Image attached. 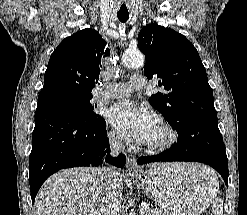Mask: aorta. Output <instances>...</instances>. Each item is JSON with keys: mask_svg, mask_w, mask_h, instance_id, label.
<instances>
[{"mask_svg": "<svg viewBox=\"0 0 247 215\" xmlns=\"http://www.w3.org/2000/svg\"><path fill=\"white\" fill-rule=\"evenodd\" d=\"M122 64L126 67H141L144 64V55L138 51L126 52L122 56Z\"/></svg>", "mask_w": 247, "mask_h": 215, "instance_id": "aorta-1", "label": "aorta"}]
</instances>
